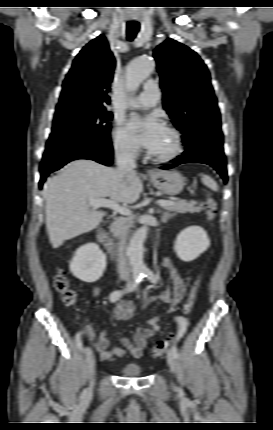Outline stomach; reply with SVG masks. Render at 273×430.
<instances>
[{
    "mask_svg": "<svg viewBox=\"0 0 273 430\" xmlns=\"http://www.w3.org/2000/svg\"><path fill=\"white\" fill-rule=\"evenodd\" d=\"M154 187L169 195L179 194L184 185V177L177 171H156L150 174Z\"/></svg>",
    "mask_w": 273,
    "mask_h": 430,
    "instance_id": "1",
    "label": "stomach"
}]
</instances>
